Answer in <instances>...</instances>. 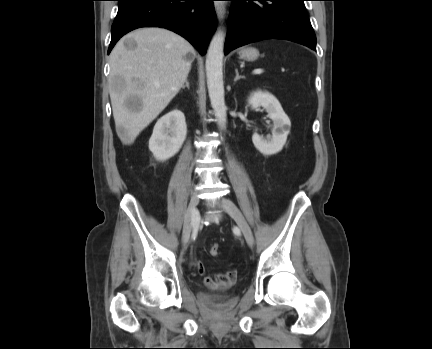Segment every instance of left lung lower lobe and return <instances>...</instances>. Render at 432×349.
<instances>
[{"instance_id":"0a47b994","label":"left lung lower lobe","mask_w":432,"mask_h":349,"mask_svg":"<svg viewBox=\"0 0 432 349\" xmlns=\"http://www.w3.org/2000/svg\"><path fill=\"white\" fill-rule=\"evenodd\" d=\"M224 53L264 39H284L316 49L305 0H231Z\"/></svg>"}]
</instances>
